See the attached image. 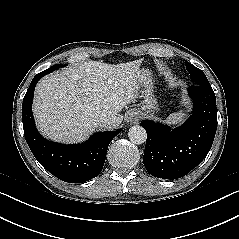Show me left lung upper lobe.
Wrapping results in <instances>:
<instances>
[{"mask_svg": "<svg viewBox=\"0 0 239 239\" xmlns=\"http://www.w3.org/2000/svg\"><path fill=\"white\" fill-rule=\"evenodd\" d=\"M185 65L190 74V78L194 82V85L211 86L202 70L190 64L189 62H186Z\"/></svg>", "mask_w": 239, "mask_h": 239, "instance_id": "5c2ea615", "label": "left lung upper lobe"}]
</instances>
